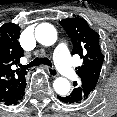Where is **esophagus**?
I'll return each instance as SVG.
<instances>
[{
  "label": "esophagus",
  "instance_id": "1",
  "mask_svg": "<svg viewBox=\"0 0 117 117\" xmlns=\"http://www.w3.org/2000/svg\"><path fill=\"white\" fill-rule=\"evenodd\" d=\"M46 69L51 77H56L58 75V72L55 68L46 66Z\"/></svg>",
  "mask_w": 117,
  "mask_h": 117
}]
</instances>
